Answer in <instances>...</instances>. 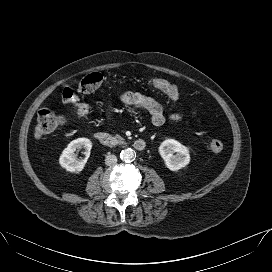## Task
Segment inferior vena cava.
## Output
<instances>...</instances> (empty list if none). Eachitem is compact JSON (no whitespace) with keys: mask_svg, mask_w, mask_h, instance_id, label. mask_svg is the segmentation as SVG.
Wrapping results in <instances>:
<instances>
[{"mask_svg":"<svg viewBox=\"0 0 272 272\" xmlns=\"http://www.w3.org/2000/svg\"><path fill=\"white\" fill-rule=\"evenodd\" d=\"M117 163V157L115 155H108L105 158V164L108 166L115 165Z\"/></svg>","mask_w":272,"mask_h":272,"instance_id":"1","label":"inferior vena cava"}]
</instances>
